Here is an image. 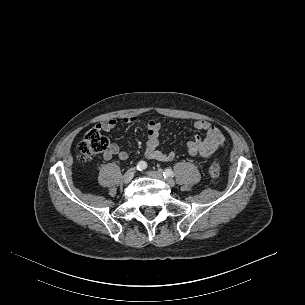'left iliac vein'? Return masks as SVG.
Instances as JSON below:
<instances>
[{
  "mask_svg": "<svg viewBox=\"0 0 305 305\" xmlns=\"http://www.w3.org/2000/svg\"><path fill=\"white\" fill-rule=\"evenodd\" d=\"M148 174L154 178L163 180L167 185L170 187H173L175 185V182L171 178H164L163 173L161 171H150Z\"/></svg>",
  "mask_w": 305,
  "mask_h": 305,
  "instance_id": "4c4485c4",
  "label": "left iliac vein"
}]
</instances>
